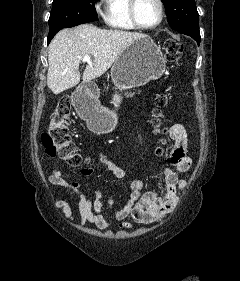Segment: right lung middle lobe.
Wrapping results in <instances>:
<instances>
[{"label":"right lung middle lobe","mask_w":240,"mask_h":281,"mask_svg":"<svg viewBox=\"0 0 240 281\" xmlns=\"http://www.w3.org/2000/svg\"><path fill=\"white\" fill-rule=\"evenodd\" d=\"M94 0H53L48 42L63 28L96 21Z\"/></svg>","instance_id":"dd1d6c3e"}]
</instances>
